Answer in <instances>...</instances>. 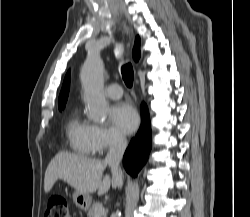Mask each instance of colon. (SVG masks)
I'll list each match as a JSON object with an SVG mask.
<instances>
[{"mask_svg": "<svg viewBox=\"0 0 250 217\" xmlns=\"http://www.w3.org/2000/svg\"><path fill=\"white\" fill-rule=\"evenodd\" d=\"M44 217H70L67 200L63 196L50 197Z\"/></svg>", "mask_w": 250, "mask_h": 217, "instance_id": "5ec220e1", "label": "colon"}]
</instances>
